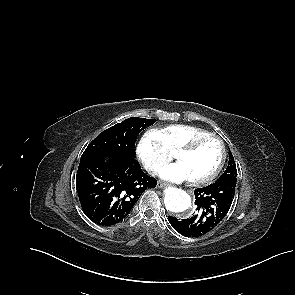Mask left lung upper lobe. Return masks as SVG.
Masks as SVG:
<instances>
[{
  "instance_id": "obj_1",
  "label": "left lung upper lobe",
  "mask_w": 295,
  "mask_h": 295,
  "mask_svg": "<svg viewBox=\"0 0 295 295\" xmlns=\"http://www.w3.org/2000/svg\"><path fill=\"white\" fill-rule=\"evenodd\" d=\"M236 177H237V170H236L235 161H234L232 153L229 151V165L227 166L225 172L219 177L217 181L229 180V179L236 181L237 179Z\"/></svg>"
}]
</instances>
